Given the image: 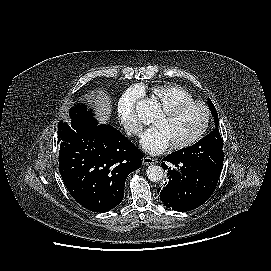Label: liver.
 Returning a JSON list of instances; mask_svg holds the SVG:
<instances>
[{"mask_svg":"<svg viewBox=\"0 0 271 271\" xmlns=\"http://www.w3.org/2000/svg\"><path fill=\"white\" fill-rule=\"evenodd\" d=\"M88 98L93 100L95 103L99 112L100 121L106 123L110 119L112 112L111 99L109 96L103 91L99 90L90 94Z\"/></svg>","mask_w":271,"mask_h":271,"instance_id":"obj_1","label":"liver"}]
</instances>
